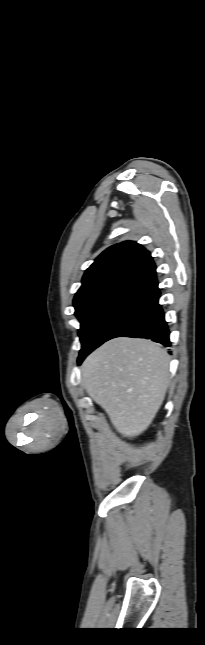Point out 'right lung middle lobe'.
Listing matches in <instances>:
<instances>
[{"label": "right lung middle lobe", "instance_id": "dd1d6c3e", "mask_svg": "<svg viewBox=\"0 0 205 645\" xmlns=\"http://www.w3.org/2000/svg\"><path fill=\"white\" fill-rule=\"evenodd\" d=\"M149 297V290L121 288L74 304L75 315L81 323L79 358L100 346L112 331L143 307Z\"/></svg>", "mask_w": 205, "mask_h": 645}]
</instances>
